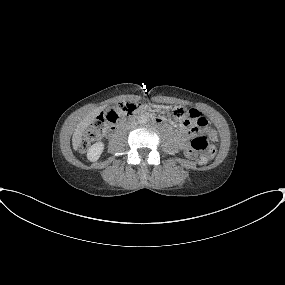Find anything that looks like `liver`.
Wrapping results in <instances>:
<instances>
[{
	"mask_svg": "<svg viewBox=\"0 0 285 285\" xmlns=\"http://www.w3.org/2000/svg\"><path fill=\"white\" fill-rule=\"evenodd\" d=\"M105 107H98L96 109H94L93 111H91L89 114H87L84 119L77 125L73 136H72V145H73V149L77 150L81 140H82V135L85 131V129L87 127H89V125L91 123H93L96 119V117L99 115V113L104 109Z\"/></svg>",
	"mask_w": 285,
	"mask_h": 285,
	"instance_id": "obj_1",
	"label": "liver"
}]
</instances>
